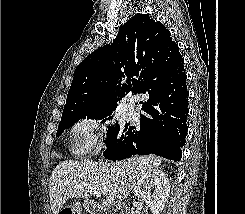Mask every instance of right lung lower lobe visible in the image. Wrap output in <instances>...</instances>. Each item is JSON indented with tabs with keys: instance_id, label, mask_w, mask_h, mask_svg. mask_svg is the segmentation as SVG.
<instances>
[{
	"instance_id": "98d812e1",
	"label": "right lung lower lobe",
	"mask_w": 245,
	"mask_h": 214,
	"mask_svg": "<svg viewBox=\"0 0 245 214\" xmlns=\"http://www.w3.org/2000/svg\"><path fill=\"white\" fill-rule=\"evenodd\" d=\"M146 92L149 99L142 106L140 125L127 127L122 142L107 148L105 158L121 160L153 153L174 161L181 159L180 147L184 146L187 135L186 77L173 81L169 75L156 72Z\"/></svg>"
}]
</instances>
